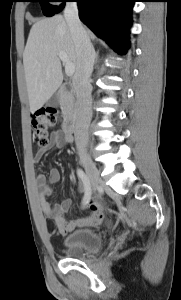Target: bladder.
Returning <instances> with one entry per match:
<instances>
[{
    "mask_svg": "<svg viewBox=\"0 0 181 300\" xmlns=\"http://www.w3.org/2000/svg\"><path fill=\"white\" fill-rule=\"evenodd\" d=\"M63 245L68 254L82 255L99 251L102 247V239L95 230L76 229L66 235Z\"/></svg>",
    "mask_w": 181,
    "mask_h": 300,
    "instance_id": "bladder-1",
    "label": "bladder"
}]
</instances>
